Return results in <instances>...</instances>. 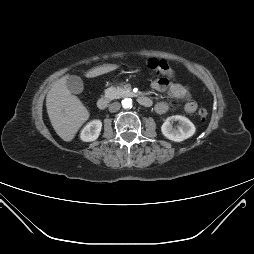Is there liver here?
<instances>
[{
	"label": "liver",
	"mask_w": 254,
	"mask_h": 254,
	"mask_svg": "<svg viewBox=\"0 0 254 254\" xmlns=\"http://www.w3.org/2000/svg\"><path fill=\"white\" fill-rule=\"evenodd\" d=\"M119 66L106 64L95 67L86 73L87 78H94L114 71ZM68 76L60 78L54 83L46 96V107L50 122L64 141H71L79 128L89 118V112L79 98L72 95L66 86Z\"/></svg>",
	"instance_id": "6515ba94"
}]
</instances>
